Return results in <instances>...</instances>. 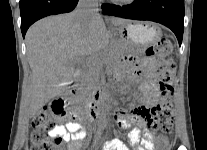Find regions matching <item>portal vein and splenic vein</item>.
<instances>
[{
  "mask_svg": "<svg viewBox=\"0 0 207 150\" xmlns=\"http://www.w3.org/2000/svg\"><path fill=\"white\" fill-rule=\"evenodd\" d=\"M91 62L99 63V59L98 58H95Z\"/></svg>",
  "mask_w": 207,
  "mask_h": 150,
  "instance_id": "obj_1",
  "label": "portal vein and splenic vein"
}]
</instances>
